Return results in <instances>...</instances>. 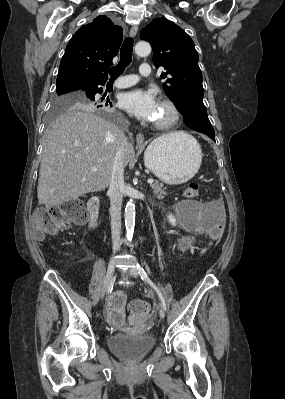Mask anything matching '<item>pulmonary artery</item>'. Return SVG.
Masks as SVG:
<instances>
[{"mask_svg": "<svg viewBox=\"0 0 285 399\" xmlns=\"http://www.w3.org/2000/svg\"><path fill=\"white\" fill-rule=\"evenodd\" d=\"M139 75L141 77H149L151 75V68L149 63H141L139 66ZM137 82V77L132 74L124 75L120 77L114 86L117 88H126L134 85Z\"/></svg>", "mask_w": 285, "mask_h": 399, "instance_id": "pulmonary-artery-1", "label": "pulmonary artery"}]
</instances>
